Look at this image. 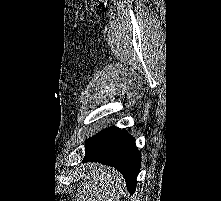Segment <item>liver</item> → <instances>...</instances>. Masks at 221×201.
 Here are the masks:
<instances>
[{
    "instance_id": "6515ba94",
    "label": "liver",
    "mask_w": 221,
    "mask_h": 201,
    "mask_svg": "<svg viewBox=\"0 0 221 201\" xmlns=\"http://www.w3.org/2000/svg\"><path fill=\"white\" fill-rule=\"evenodd\" d=\"M84 172L73 201H119L124 190L120 172L99 163H86Z\"/></svg>"
}]
</instances>
